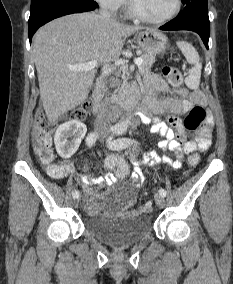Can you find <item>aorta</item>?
<instances>
[{"instance_id": "aorta-1", "label": "aorta", "mask_w": 233, "mask_h": 284, "mask_svg": "<svg viewBox=\"0 0 233 284\" xmlns=\"http://www.w3.org/2000/svg\"><path fill=\"white\" fill-rule=\"evenodd\" d=\"M131 116L127 117L124 121L120 123V126H122L124 129L127 128L130 124Z\"/></svg>"}]
</instances>
